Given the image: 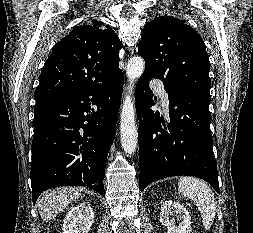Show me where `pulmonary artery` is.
<instances>
[{"label": "pulmonary artery", "instance_id": "e3ab8cb5", "mask_svg": "<svg viewBox=\"0 0 253 233\" xmlns=\"http://www.w3.org/2000/svg\"><path fill=\"white\" fill-rule=\"evenodd\" d=\"M151 85L155 89L158 96L160 97L163 106L165 107V109H167L168 104H169V99H168V93L164 85L160 81H157V80L152 81Z\"/></svg>", "mask_w": 253, "mask_h": 233}]
</instances>
